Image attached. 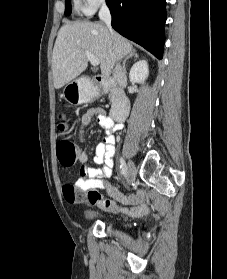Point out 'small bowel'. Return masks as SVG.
<instances>
[{
  "instance_id": "1",
  "label": "small bowel",
  "mask_w": 227,
  "mask_h": 279,
  "mask_svg": "<svg viewBox=\"0 0 227 279\" xmlns=\"http://www.w3.org/2000/svg\"><path fill=\"white\" fill-rule=\"evenodd\" d=\"M95 117L97 123L105 130L103 141L96 146L93 165L90 166L89 154L86 151H81L78 156V161L82 164L80 177L74 183V187H66L64 189V197L69 203H76L80 197L76 194V189L85 191L90 189V192H97V188H104L108 194L116 200L121 201L125 205L137 204L130 208L120 207L115 205L111 200H105L100 195L98 198L89 199L90 203L97 206H102L118 212L128 213L130 215H143L148 210V206L143 203V195L138 192L134 195L126 196L118 190L110 181L113 170V157L115 153V136L113 130L119 129L115 126L113 120L106 115L103 109H89L82 115L79 128V138L83 141L84 129L89 125L92 118Z\"/></svg>"
}]
</instances>
